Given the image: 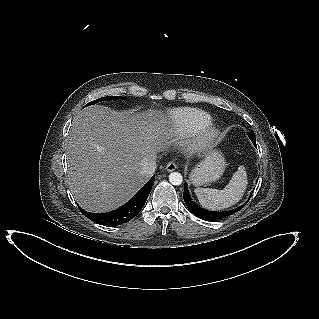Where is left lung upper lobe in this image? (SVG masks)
<instances>
[{
    "mask_svg": "<svg viewBox=\"0 0 319 319\" xmlns=\"http://www.w3.org/2000/svg\"><path fill=\"white\" fill-rule=\"evenodd\" d=\"M248 135L252 141H256L255 134L253 131H251Z\"/></svg>",
    "mask_w": 319,
    "mask_h": 319,
    "instance_id": "5c2ea615",
    "label": "left lung upper lobe"
}]
</instances>
